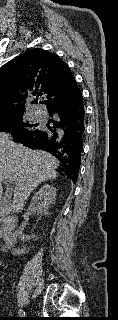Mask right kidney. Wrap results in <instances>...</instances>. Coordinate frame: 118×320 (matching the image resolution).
<instances>
[{"label": "right kidney", "instance_id": "ca27d5eb", "mask_svg": "<svg viewBox=\"0 0 118 320\" xmlns=\"http://www.w3.org/2000/svg\"><path fill=\"white\" fill-rule=\"evenodd\" d=\"M57 189L52 185L45 184L32 197L31 203L27 209V214L37 213L38 215H49V207L54 202ZM25 224L22 223L19 230L16 231L17 236L26 241L27 238L23 235Z\"/></svg>", "mask_w": 118, "mask_h": 320}]
</instances>
